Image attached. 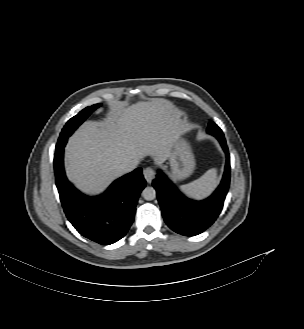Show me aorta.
Wrapping results in <instances>:
<instances>
[{
    "label": "aorta",
    "mask_w": 304,
    "mask_h": 329,
    "mask_svg": "<svg viewBox=\"0 0 304 329\" xmlns=\"http://www.w3.org/2000/svg\"><path fill=\"white\" fill-rule=\"evenodd\" d=\"M142 196L145 200L151 201L156 197V191L153 187H146L142 191Z\"/></svg>",
    "instance_id": "762f6f07"
}]
</instances>
